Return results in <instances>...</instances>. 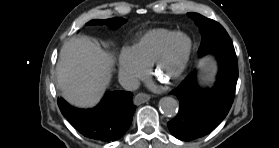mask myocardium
<instances>
[{"label":"myocardium","mask_w":279,"mask_h":148,"mask_svg":"<svg viewBox=\"0 0 279 148\" xmlns=\"http://www.w3.org/2000/svg\"><path fill=\"white\" fill-rule=\"evenodd\" d=\"M178 39H185L187 42V45H186V48L182 55L180 64L178 65L175 72L168 79V81L170 83H175V82L179 81L186 74V72L191 64L192 57H193V48H194L191 37L184 32H175L170 37V39L166 43L165 47L163 48V50L161 51V53L159 54V56L157 57V59L155 60V62L153 64V73L156 77H159L162 67L164 66L166 61L170 58V56L172 55L174 47H175V43Z\"/></svg>","instance_id":"myocardium-1"}]
</instances>
